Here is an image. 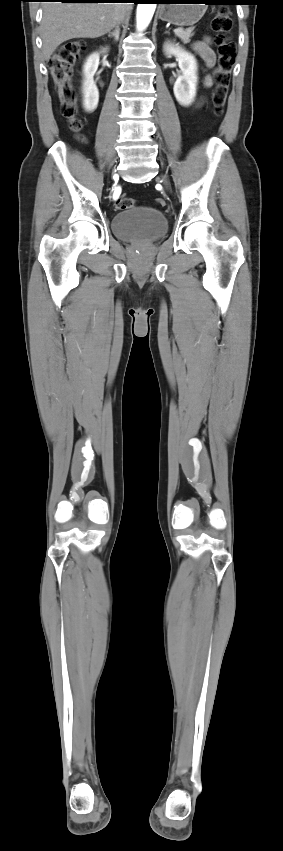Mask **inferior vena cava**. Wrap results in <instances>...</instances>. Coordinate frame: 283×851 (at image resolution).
I'll return each instance as SVG.
<instances>
[{
  "instance_id": "obj_1",
  "label": "inferior vena cava",
  "mask_w": 283,
  "mask_h": 851,
  "mask_svg": "<svg viewBox=\"0 0 283 851\" xmlns=\"http://www.w3.org/2000/svg\"><path fill=\"white\" fill-rule=\"evenodd\" d=\"M124 5H126V4H124ZM125 16H126V9L123 10L121 12V14L118 16V18L116 20V24H115L116 28L119 27V24L124 20Z\"/></svg>"
}]
</instances>
